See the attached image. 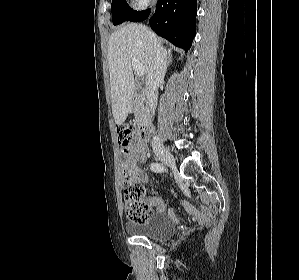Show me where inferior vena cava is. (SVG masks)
<instances>
[{"instance_id": "602c4592", "label": "inferior vena cava", "mask_w": 299, "mask_h": 280, "mask_svg": "<svg viewBox=\"0 0 299 280\" xmlns=\"http://www.w3.org/2000/svg\"><path fill=\"white\" fill-rule=\"evenodd\" d=\"M166 59V51L162 50L159 47V45L156 42H154L153 59L151 62L150 69L147 73V78L145 82V95L147 98L148 107L150 108L152 114L155 113V109L157 106V89L159 85L163 82L166 73ZM153 143L154 145L159 143L158 136L153 137Z\"/></svg>"}]
</instances>
